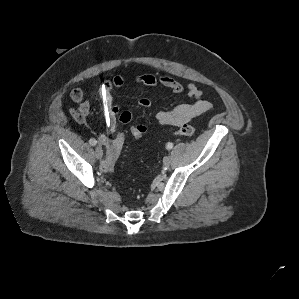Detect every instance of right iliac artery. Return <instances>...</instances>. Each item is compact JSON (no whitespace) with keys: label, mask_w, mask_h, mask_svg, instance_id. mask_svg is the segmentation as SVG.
Returning a JSON list of instances; mask_svg holds the SVG:
<instances>
[{"label":"right iliac artery","mask_w":299,"mask_h":299,"mask_svg":"<svg viewBox=\"0 0 299 299\" xmlns=\"http://www.w3.org/2000/svg\"><path fill=\"white\" fill-rule=\"evenodd\" d=\"M89 143H90V145L95 146L96 143H97V141H96L94 138H91V139L89 140Z\"/></svg>","instance_id":"right-iliac-artery-1"}]
</instances>
